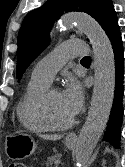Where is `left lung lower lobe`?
I'll return each instance as SVG.
<instances>
[{"mask_svg": "<svg viewBox=\"0 0 125 167\" xmlns=\"http://www.w3.org/2000/svg\"><path fill=\"white\" fill-rule=\"evenodd\" d=\"M106 34L109 37V40L112 44V48L114 51L116 83H115V94H114L112 110L102 140L109 142L116 148H119L120 126L123 116L122 98L124 94V89H123L124 52L117 19L112 23Z\"/></svg>", "mask_w": 125, "mask_h": 167, "instance_id": "0a47b994", "label": "left lung lower lobe"}]
</instances>
